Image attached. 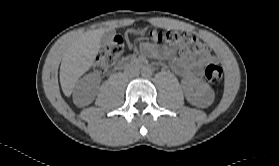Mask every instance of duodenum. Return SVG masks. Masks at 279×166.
Instances as JSON below:
<instances>
[{
	"mask_svg": "<svg viewBox=\"0 0 279 166\" xmlns=\"http://www.w3.org/2000/svg\"><path fill=\"white\" fill-rule=\"evenodd\" d=\"M146 64L142 60L127 58L117 64V69H126L131 67H144Z\"/></svg>",
	"mask_w": 279,
	"mask_h": 166,
	"instance_id": "duodenum-1",
	"label": "duodenum"
}]
</instances>
